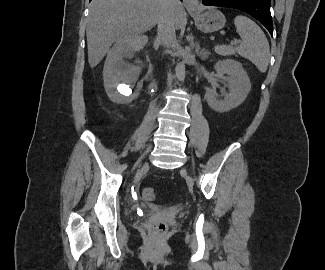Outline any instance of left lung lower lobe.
Here are the masks:
<instances>
[{"mask_svg":"<svg viewBox=\"0 0 325 270\" xmlns=\"http://www.w3.org/2000/svg\"><path fill=\"white\" fill-rule=\"evenodd\" d=\"M203 4L242 10L260 21L273 36L270 0H203Z\"/></svg>","mask_w":325,"mask_h":270,"instance_id":"1","label":"left lung lower lobe"}]
</instances>
